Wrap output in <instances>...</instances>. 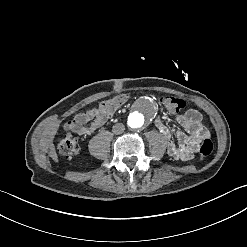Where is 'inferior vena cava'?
Returning a JSON list of instances; mask_svg holds the SVG:
<instances>
[{"label":"inferior vena cava","instance_id":"obj_1","mask_svg":"<svg viewBox=\"0 0 247 247\" xmlns=\"http://www.w3.org/2000/svg\"><path fill=\"white\" fill-rule=\"evenodd\" d=\"M124 130L125 126L122 123H116L112 128V132L115 134H121Z\"/></svg>","mask_w":247,"mask_h":247}]
</instances>
